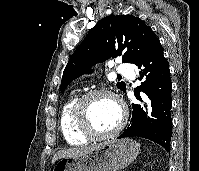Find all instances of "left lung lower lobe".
<instances>
[{
  "mask_svg": "<svg viewBox=\"0 0 199 171\" xmlns=\"http://www.w3.org/2000/svg\"><path fill=\"white\" fill-rule=\"evenodd\" d=\"M142 84L134 89L140 104H132L128 128L118 137H142L161 145L170 152L172 137L171 91L169 64L159 39L136 64Z\"/></svg>",
  "mask_w": 199,
  "mask_h": 171,
  "instance_id": "1",
  "label": "left lung lower lobe"
}]
</instances>
